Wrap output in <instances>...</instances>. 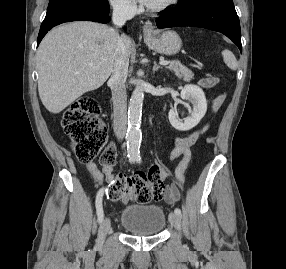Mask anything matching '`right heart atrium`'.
<instances>
[{
	"instance_id": "1",
	"label": "right heart atrium",
	"mask_w": 286,
	"mask_h": 269,
	"mask_svg": "<svg viewBox=\"0 0 286 269\" xmlns=\"http://www.w3.org/2000/svg\"><path fill=\"white\" fill-rule=\"evenodd\" d=\"M109 2L111 6L120 13L130 15L136 11L133 0H109Z\"/></svg>"
}]
</instances>
